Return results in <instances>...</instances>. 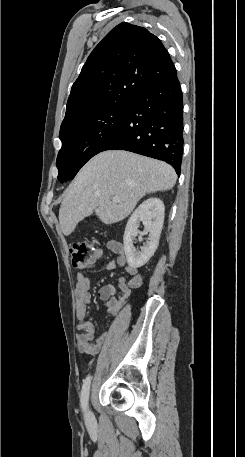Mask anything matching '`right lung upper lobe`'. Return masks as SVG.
Wrapping results in <instances>:
<instances>
[{
    "label": "right lung upper lobe",
    "instance_id": "1",
    "mask_svg": "<svg viewBox=\"0 0 245 457\" xmlns=\"http://www.w3.org/2000/svg\"><path fill=\"white\" fill-rule=\"evenodd\" d=\"M176 72L168 51L147 29L123 22L95 47L71 88L62 123L118 101Z\"/></svg>",
    "mask_w": 245,
    "mask_h": 457
}]
</instances>
